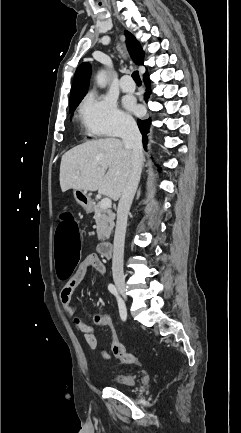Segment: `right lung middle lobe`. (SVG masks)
<instances>
[{
	"label": "right lung middle lobe",
	"instance_id": "obj_1",
	"mask_svg": "<svg viewBox=\"0 0 241 433\" xmlns=\"http://www.w3.org/2000/svg\"><path fill=\"white\" fill-rule=\"evenodd\" d=\"M80 102H78L75 106H73L72 108L69 109V113H73V111L76 109V107L78 106Z\"/></svg>",
	"mask_w": 241,
	"mask_h": 433
}]
</instances>
